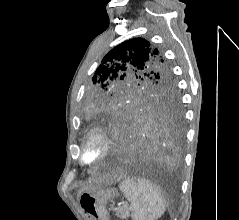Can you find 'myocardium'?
<instances>
[{
	"label": "myocardium",
	"mask_w": 239,
	"mask_h": 220,
	"mask_svg": "<svg viewBox=\"0 0 239 220\" xmlns=\"http://www.w3.org/2000/svg\"><path fill=\"white\" fill-rule=\"evenodd\" d=\"M97 143L99 145V153L98 155L92 159H86L85 153L87 148L92 144ZM112 139L109 135V133L102 127H93L91 128L88 133L85 135V138L83 140V144L81 147V153H80V161L86 165H93L100 161H102L104 158H106L112 149Z\"/></svg>",
	"instance_id": "obj_1"
}]
</instances>
